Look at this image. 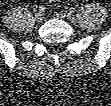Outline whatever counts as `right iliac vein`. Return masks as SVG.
Returning <instances> with one entry per match:
<instances>
[{
    "mask_svg": "<svg viewBox=\"0 0 111 106\" xmlns=\"http://www.w3.org/2000/svg\"><path fill=\"white\" fill-rule=\"evenodd\" d=\"M44 18V14L40 11H38L36 14H35V21L36 22H41Z\"/></svg>",
    "mask_w": 111,
    "mask_h": 106,
    "instance_id": "right-iliac-vein-1",
    "label": "right iliac vein"
}]
</instances>
